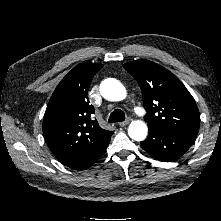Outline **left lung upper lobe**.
<instances>
[{
    "label": "left lung upper lobe",
    "mask_w": 221,
    "mask_h": 221,
    "mask_svg": "<svg viewBox=\"0 0 221 221\" xmlns=\"http://www.w3.org/2000/svg\"><path fill=\"white\" fill-rule=\"evenodd\" d=\"M123 66L141 88L148 127L197 135L200 113L193 97L174 74L146 59Z\"/></svg>",
    "instance_id": "obj_1"
}]
</instances>
